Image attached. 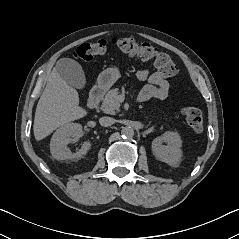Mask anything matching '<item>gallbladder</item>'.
<instances>
[{"instance_id": "bac80fb5", "label": "gallbladder", "mask_w": 239, "mask_h": 239, "mask_svg": "<svg viewBox=\"0 0 239 239\" xmlns=\"http://www.w3.org/2000/svg\"><path fill=\"white\" fill-rule=\"evenodd\" d=\"M55 68L62 79L69 85L77 89L84 88L86 79L84 71L78 62L70 58H61L57 61Z\"/></svg>"}]
</instances>
